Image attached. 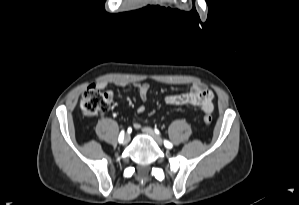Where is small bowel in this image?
<instances>
[{
  "label": "small bowel",
  "mask_w": 299,
  "mask_h": 205,
  "mask_svg": "<svg viewBox=\"0 0 299 205\" xmlns=\"http://www.w3.org/2000/svg\"><path fill=\"white\" fill-rule=\"evenodd\" d=\"M98 89H103L106 83L99 82L95 85ZM134 87L138 91L139 98L142 102H146L149 94V84L146 82H138L134 84ZM165 102L168 105L181 106V105H193L200 107L203 112L210 114L214 110L213 105V93L207 89L204 85L199 83L192 84L189 91L178 94H170L165 97ZM145 112V106L140 105L137 108L138 114ZM140 123L136 122L134 128L138 129Z\"/></svg>",
  "instance_id": "1"
}]
</instances>
